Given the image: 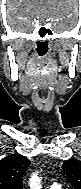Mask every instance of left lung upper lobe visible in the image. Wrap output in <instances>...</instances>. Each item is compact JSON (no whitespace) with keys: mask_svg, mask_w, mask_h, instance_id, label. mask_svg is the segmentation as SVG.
<instances>
[{"mask_svg":"<svg viewBox=\"0 0 81 189\" xmlns=\"http://www.w3.org/2000/svg\"><path fill=\"white\" fill-rule=\"evenodd\" d=\"M63 170L74 189H81V161L69 159L64 162Z\"/></svg>","mask_w":81,"mask_h":189,"instance_id":"left-lung-upper-lobe-1","label":"left lung upper lobe"}]
</instances>
